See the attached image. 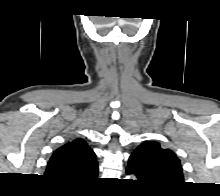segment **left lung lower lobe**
I'll use <instances>...</instances> for the list:
<instances>
[{"label": "left lung lower lobe", "instance_id": "obj_1", "mask_svg": "<svg viewBox=\"0 0 220 196\" xmlns=\"http://www.w3.org/2000/svg\"><path fill=\"white\" fill-rule=\"evenodd\" d=\"M127 174H134L137 176V178L142 181L145 182L144 180H142V178L140 177V174L137 172L136 168L133 165V160L129 159V164L128 167L126 169Z\"/></svg>", "mask_w": 220, "mask_h": 196}]
</instances>
